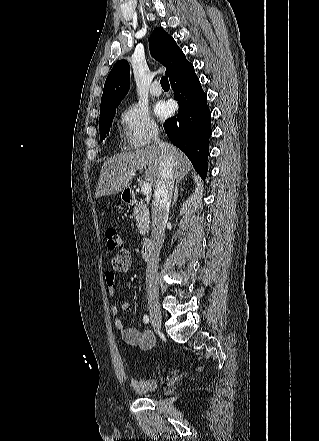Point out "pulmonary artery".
Instances as JSON below:
<instances>
[{
    "mask_svg": "<svg viewBox=\"0 0 319 441\" xmlns=\"http://www.w3.org/2000/svg\"><path fill=\"white\" fill-rule=\"evenodd\" d=\"M150 93L153 96H160L162 94V88L158 85L157 82H154L150 87Z\"/></svg>",
    "mask_w": 319,
    "mask_h": 441,
    "instance_id": "1",
    "label": "pulmonary artery"
}]
</instances>
